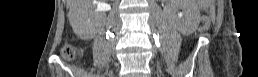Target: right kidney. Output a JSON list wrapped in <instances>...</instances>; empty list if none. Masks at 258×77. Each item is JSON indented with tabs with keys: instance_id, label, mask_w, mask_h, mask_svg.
Returning <instances> with one entry per match:
<instances>
[{
	"instance_id": "right-kidney-1",
	"label": "right kidney",
	"mask_w": 258,
	"mask_h": 77,
	"mask_svg": "<svg viewBox=\"0 0 258 77\" xmlns=\"http://www.w3.org/2000/svg\"><path fill=\"white\" fill-rule=\"evenodd\" d=\"M92 2V0H91ZM96 3V0H93ZM98 5H105L104 3H99ZM74 31L78 36L84 40L91 39L95 34V25L90 22V20H86L84 17L75 14L74 23L72 25Z\"/></svg>"
}]
</instances>
